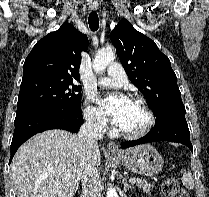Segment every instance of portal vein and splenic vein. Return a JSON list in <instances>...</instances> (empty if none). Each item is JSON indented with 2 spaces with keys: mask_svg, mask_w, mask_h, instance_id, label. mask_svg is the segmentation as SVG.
Instances as JSON below:
<instances>
[{
  "mask_svg": "<svg viewBox=\"0 0 209 197\" xmlns=\"http://www.w3.org/2000/svg\"><path fill=\"white\" fill-rule=\"evenodd\" d=\"M139 181H142V179H139V178H132L129 180L130 183H137Z\"/></svg>",
  "mask_w": 209,
  "mask_h": 197,
  "instance_id": "portal-vein-and-splenic-vein-1",
  "label": "portal vein and splenic vein"
}]
</instances>
